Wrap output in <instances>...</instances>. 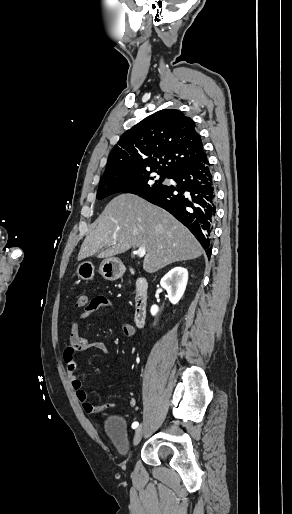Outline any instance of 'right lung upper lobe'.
I'll use <instances>...</instances> for the list:
<instances>
[{
  "label": "right lung upper lobe",
  "mask_w": 292,
  "mask_h": 514,
  "mask_svg": "<svg viewBox=\"0 0 292 514\" xmlns=\"http://www.w3.org/2000/svg\"><path fill=\"white\" fill-rule=\"evenodd\" d=\"M205 155L193 120L179 110L163 109L122 135L101 180L152 171L170 175Z\"/></svg>",
  "instance_id": "1"
}]
</instances>
